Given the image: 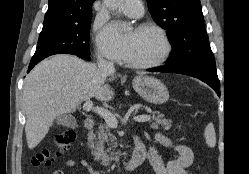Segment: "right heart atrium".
<instances>
[{
  "label": "right heart atrium",
  "mask_w": 249,
  "mask_h": 174,
  "mask_svg": "<svg viewBox=\"0 0 249 174\" xmlns=\"http://www.w3.org/2000/svg\"><path fill=\"white\" fill-rule=\"evenodd\" d=\"M102 27H103L102 22L97 21L95 23V30L96 31L101 30ZM97 53H98V58H99L100 61H102V62H109L111 60L110 57H109V55L103 49L98 48Z\"/></svg>",
  "instance_id": "1"
}]
</instances>
